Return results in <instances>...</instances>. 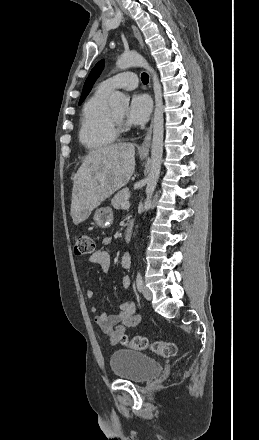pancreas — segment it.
Segmentation results:
<instances>
[{"label": "pancreas", "mask_w": 259, "mask_h": 440, "mask_svg": "<svg viewBox=\"0 0 259 440\" xmlns=\"http://www.w3.org/2000/svg\"><path fill=\"white\" fill-rule=\"evenodd\" d=\"M129 189L124 188L119 191L114 197L111 199V204L115 209H120L121 204L128 201Z\"/></svg>", "instance_id": "pancreas-1"}]
</instances>
